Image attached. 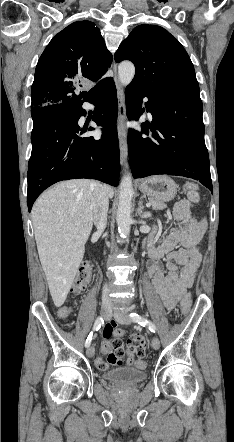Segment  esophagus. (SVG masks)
Returning a JSON list of instances; mask_svg holds the SVG:
<instances>
[{
  "label": "esophagus",
  "instance_id": "esophagus-1",
  "mask_svg": "<svg viewBox=\"0 0 234 442\" xmlns=\"http://www.w3.org/2000/svg\"><path fill=\"white\" fill-rule=\"evenodd\" d=\"M114 71V81L117 89V99H118V119H117V127H118V138H119V147H120V162L124 168H127V134L125 128V120H126V106H125V97H124V89L117 75V66L113 64Z\"/></svg>",
  "mask_w": 234,
  "mask_h": 442
}]
</instances>
